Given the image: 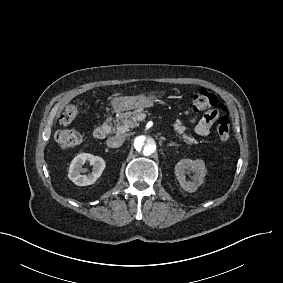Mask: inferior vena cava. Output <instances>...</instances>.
<instances>
[{"instance_id":"602c4592","label":"inferior vena cava","mask_w":283,"mask_h":283,"mask_svg":"<svg viewBox=\"0 0 283 283\" xmlns=\"http://www.w3.org/2000/svg\"><path fill=\"white\" fill-rule=\"evenodd\" d=\"M106 142L109 147L117 148L123 144L124 139L121 136H113L109 137Z\"/></svg>"}]
</instances>
